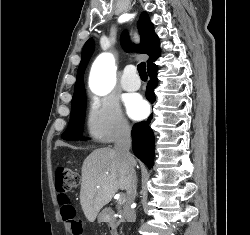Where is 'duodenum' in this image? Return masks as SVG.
<instances>
[{
    "label": "duodenum",
    "mask_w": 250,
    "mask_h": 235,
    "mask_svg": "<svg viewBox=\"0 0 250 235\" xmlns=\"http://www.w3.org/2000/svg\"><path fill=\"white\" fill-rule=\"evenodd\" d=\"M108 215L109 219L107 221V225L109 227V231L111 235H117L119 222L123 219L119 218L118 216L111 215L110 213H108Z\"/></svg>",
    "instance_id": "duodenum-1"
}]
</instances>
